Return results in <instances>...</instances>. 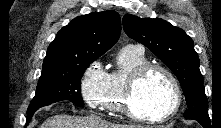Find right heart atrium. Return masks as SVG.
<instances>
[{"label":"right heart atrium","instance_id":"right-heart-atrium-1","mask_svg":"<svg viewBox=\"0 0 221 128\" xmlns=\"http://www.w3.org/2000/svg\"><path fill=\"white\" fill-rule=\"evenodd\" d=\"M107 73L101 69L100 61H94L84 71L81 81V95L91 108L100 105V98L105 87Z\"/></svg>","mask_w":221,"mask_h":128}]
</instances>
